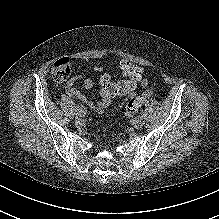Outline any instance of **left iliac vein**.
<instances>
[{"label": "left iliac vein", "instance_id": "obj_1", "mask_svg": "<svg viewBox=\"0 0 219 219\" xmlns=\"http://www.w3.org/2000/svg\"><path fill=\"white\" fill-rule=\"evenodd\" d=\"M132 125L135 129H141L143 126V121L141 119H137L133 122Z\"/></svg>", "mask_w": 219, "mask_h": 219}]
</instances>
